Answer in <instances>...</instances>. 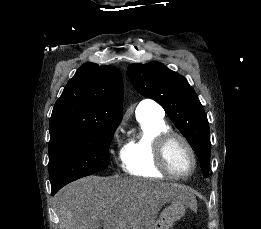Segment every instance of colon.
I'll list each match as a JSON object with an SVG mask.
<instances>
[{
  "label": "colon",
  "mask_w": 261,
  "mask_h": 229,
  "mask_svg": "<svg viewBox=\"0 0 261 229\" xmlns=\"http://www.w3.org/2000/svg\"><path fill=\"white\" fill-rule=\"evenodd\" d=\"M191 229H196V227L192 226Z\"/></svg>",
  "instance_id": "obj_1"
}]
</instances>
